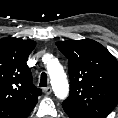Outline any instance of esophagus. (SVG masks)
Returning a JSON list of instances; mask_svg holds the SVG:
<instances>
[{"instance_id":"esophagus-1","label":"esophagus","mask_w":118,"mask_h":118,"mask_svg":"<svg viewBox=\"0 0 118 118\" xmlns=\"http://www.w3.org/2000/svg\"><path fill=\"white\" fill-rule=\"evenodd\" d=\"M43 92L46 95H50L52 93V88L50 86L43 88Z\"/></svg>"}]
</instances>
